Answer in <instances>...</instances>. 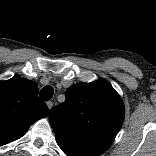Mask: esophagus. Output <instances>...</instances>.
<instances>
[{
	"mask_svg": "<svg viewBox=\"0 0 156 156\" xmlns=\"http://www.w3.org/2000/svg\"><path fill=\"white\" fill-rule=\"evenodd\" d=\"M47 106L49 107V108H51L52 107V102H47Z\"/></svg>",
	"mask_w": 156,
	"mask_h": 156,
	"instance_id": "34e87169",
	"label": "esophagus"
}]
</instances>
